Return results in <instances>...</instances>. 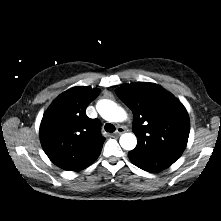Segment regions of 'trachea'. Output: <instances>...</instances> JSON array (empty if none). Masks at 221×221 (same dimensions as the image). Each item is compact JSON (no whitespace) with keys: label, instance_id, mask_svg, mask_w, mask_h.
I'll list each match as a JSON object with an SVG mask.
<instances>
[{"label":"trachea","instance_id":"obj_1","mask_svg":"<svg viewBox=\"0 0 221 221\" xmlns=\"http://www.w3.org/2000/svg\"><path fill=\"white\" fill-rule=\"evenodd\" d=\"M104 129L105 131L112 133L115 131L116 128L113 124L107 123L105 124Z\"/></svg>","mask_w":221,"mask_h":221}]
</instances>
